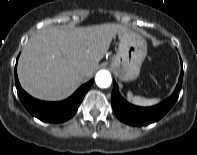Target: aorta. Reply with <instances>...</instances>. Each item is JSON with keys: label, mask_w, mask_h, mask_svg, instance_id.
Here are the masks:
<instances>
[{"label": "aorta", "mask_w": 197, "mask_h": 155, "mask_svg": "<svg viewBox=\"0 0 197 155\" xmlns=\"http://www.w3.org/2000/svg\"><path fill=\"white\" fill-rule=\"evenodd\" d=\"M95 81L98 87L100 88H107L112 83V77L109 71L107 70H100L97 72Z\"/></svg>", "instance_id": "obj_1"}]
</instances>
